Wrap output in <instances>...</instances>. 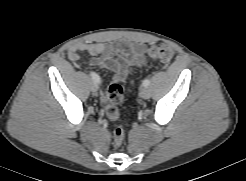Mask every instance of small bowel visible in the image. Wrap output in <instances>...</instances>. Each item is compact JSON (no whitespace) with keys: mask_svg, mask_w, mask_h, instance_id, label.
<instances>
[{"mask_svg":"<svg viewBox=\"0 0 246 181\" xmlns=\"http://www.w3.org/2000/svg\"><path fill=\"white\" fill-rule=\"evenodd\" d=\"M144 48V45L132 43L117 46L103 42L76 43L69 47L68 57L78 67L81 53L86 52L92 56L90 61L92 66L111 71L113 73V82L120 83L125 80V67L128 64L132 62L141 63V53Z\"/></svg>","mask_w":246,"mask_h":181,"instance_id":"c3829d8e","label":"small bowel"}]
</instances>
